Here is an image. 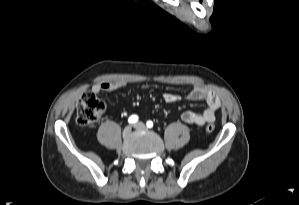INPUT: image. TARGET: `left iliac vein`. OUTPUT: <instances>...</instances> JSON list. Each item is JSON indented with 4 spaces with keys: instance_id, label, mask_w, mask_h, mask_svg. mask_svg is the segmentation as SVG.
Instances as JSON below:
<instances>
[{
    "instance_id": "left-iliac-vein-1",
    "label": "left iliac vein",
    "mask_w": 299,
    "mask_h": 205,
    "mask_svg": "<svg viewBox=\"0 0 299 205\" xmlns=\"http://www.w3.org/2000/svg\"><path fill=\"white\" fill-rule=\"evenodd\" d=\"M134 128H136V129H145L146 126H145L144 123L138 122V123L134 124Z\"/></svg>"
}]
</instances>
